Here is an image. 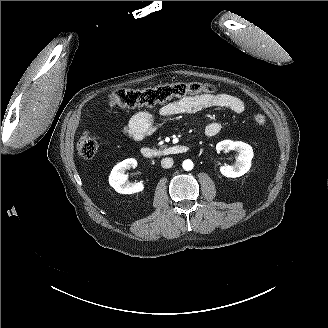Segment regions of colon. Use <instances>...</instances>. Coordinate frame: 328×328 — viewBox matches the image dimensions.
<instances>
[{
    "label": "colon",
    "mask_w": 328,
    "mask_h": 328,
    "mask_svg": "<svg viewBox=\"0 0 328 328\" xmlns=\"http://www.w3.org/2000/svg\"><path fill=\"white\" fill-rule=\"evenodd\" d=\"M213 92L214 87L212 85L200 82H180L144 89L121 88L115 90L109 96V103L112 106L122 107L153 106L173 97L212 94ZM254 121L256 124L263 126L266 124V117L262 114H255ZM98 148V143L89 132H84L77 144L79 155L87 159L94 157L98 152Z\"/></svg>",
    "instance_id": "1"
}]
</instances>
